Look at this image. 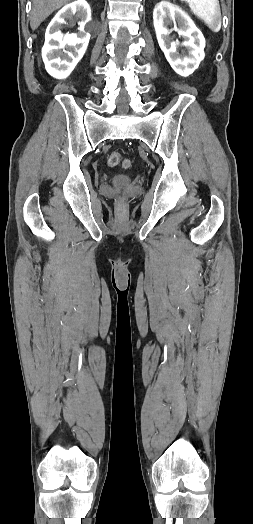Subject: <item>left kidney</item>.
<instances>
[{
	"instance_id": "1",
	"label": "left kidney",
	"mask_w": 253,
	"mask_h": 524,
	"mask_svg": "<svg viewBox=\"0 0 253 524\" xmlns=\"http://www.w3.org/2000/svg\"><path fill=\"white\" fill-rule=\"evenodd\" d=\"M153 21L159 46L173 70L184 77L192 74L205 57V39L201 31L184 11L168 1L155 6ZM172 22L173 30L184 38L182 44L170 37L171 30L167 26ZM180 45L185 47V54L177 51Z\"/></svg>"
}]
</instances>
